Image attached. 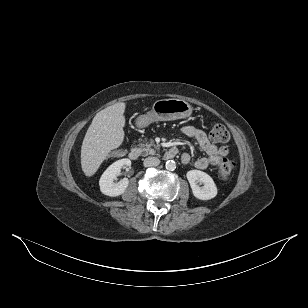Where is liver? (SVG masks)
<instances>
[{
  "label": "liver",
  "instance_id": "1",
  "mask_svg": "<svg viewBox=\"0 0 308 308\" xmlns=\"http://www.w3.org/2000/svg\"><path fill=\"white\" fill-rule=\"evenodd\" d=\"M125 107V103H116L93 118L81 147V167L86 176L94 175L110 151L122 144Z\"/></svg>",
  "mask_w": 308,
  "mask_h": 308
}]
</instances>
